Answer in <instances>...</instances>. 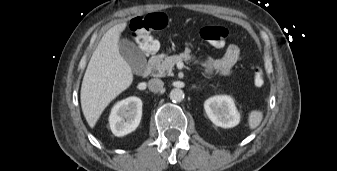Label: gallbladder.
I'll return each instance as SVG.
<instances>
[{
    "mask_svg": "<svg viewBox=\"0 0 337 171\" xmlns=\"http://www.w3.org/2000/svg\"><path fill=\"white\" fill-rule=\"evenodd\" d=\"M119 51L124 60L131 67L133 73L141 75L146 66V59L142 51L127 39H123L119 42Z\"/></svg>",
    "mask_w": 337,
    "mask_h": 171,
    "instance_id": "obj_1",
    "label": "gallbladder"
}]
</instances>
